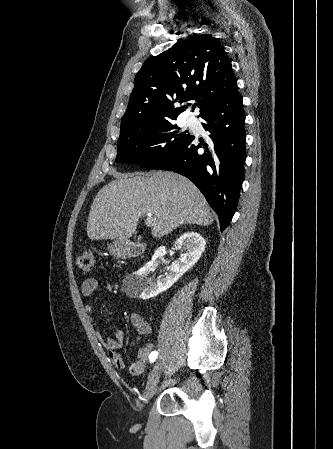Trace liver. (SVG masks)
Segmentation results:
<instances>
[{
    "label": "liver",
    "instance_id": "1",
    "mask_svg": "<svg viewBox=\"0 0 333 449\" xmlns=\"http://www.w3.org/2000/svg\"><path fill=\"white\" fill-rule=\"evenodd\" d=\"M151 214V234L162 237L183 224L208 226L210 207L186 177L167 171L131 173L104 186L90 208L87 234L91 240L129 239L139 218Z\"/></svg>",
    "mask_w": 333,
    "mask_h": 449
}]
</instances>
